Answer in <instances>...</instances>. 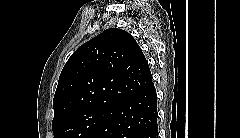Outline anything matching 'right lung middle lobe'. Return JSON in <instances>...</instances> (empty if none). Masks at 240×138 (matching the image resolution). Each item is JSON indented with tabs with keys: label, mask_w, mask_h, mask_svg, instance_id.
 I'll return each instance as SVG.
<instances>
[{
	"label": "right lung middle lobe",
	"mask_w": 240,
	"mask_h": 138,
	"mask_svg": "<svg viewBox=\"0 0 240 138\" xmlns=\"http://www.w3.org/2000/svg\"><path fill=\"white\" fill-rule=\"evenodd\" d=\"M107 110L85 109L52 121L54 138H88Z\"/></svg>",
	"instance_id": "dd1d6c3e"
}]
</instances>
